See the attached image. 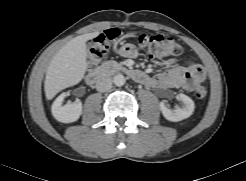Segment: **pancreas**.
<instances>
[{
	"instance_id": "obj_1",
	"label": "pancreas",
	"mask_w": 246,
	"mask_h": 181,
	"mask_svg": "<svg viewBox=\"0 0 246 181\" xmlns=\"http://www.w3.org/2000/svg\"><path fill=\"white\" fill-rule=\"evenodd\" d=\"M102 68L108 69L112 72L122 69V65L114 60L107 61L103 63Z\"/></svg>"
}]
</instances>
